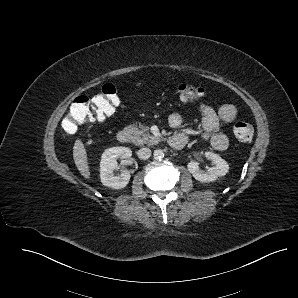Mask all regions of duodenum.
<instances>
[{
    "label": "duodenum",
    "mask_w": 298,
    "mask_h": 298,
    "mask_svg": "<svg viewBox=\"0 0 298 298\" xmlns=\"http://www.w3.org/2000/svg\"><path fill=\"white\" fill-rule=\"evenodd\" d=\"M117 139L119 142L123 144H128L132 140V134L129 129H122L117 134ZM188 142V138L183 134H174L169 138V145L173 149L180 150L182 149Z\"/></svg>",
    "instance_id": "1"
}]
</instances>
